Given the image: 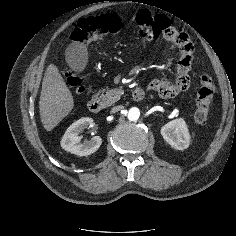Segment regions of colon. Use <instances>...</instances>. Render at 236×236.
Here are the masks:
<instances>
[{
  "label": "colon",
  "instance_id": "1",
  "mask_svg": "<svg viewBox=\"0 0 236 236\" xmlns=\"http://www.w3.org/2000/svg\"><path fill=\"white\" fill-rule=\"evenodd\" d=\"M138 27L139 36L144 40L164 39L178 43L183 39V34L174 29L169 19L164 15H153L148 11H140L131 18ZM126 18L118 14H102L81 19L71 34L73 43H91L102 37L118 32L125 23ZM66 80L76 94L84 93L82 79L73 71H67ZM187 81L178 82L177 88L182 91ZM215 87L209 75L203 74L196 94L195 121L203 124L207 121L213 101Z\"/></svg>",
  "mask_w": 236,
  "mask_h": 236
}]
</instances>
